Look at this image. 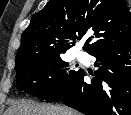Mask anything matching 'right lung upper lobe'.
I'll list each match as a JSON object with an SVG mask.
<instances>
[{
    "label": "right lung upper lobe",
    "instance_id": "cb5924a9",
    "mask_svg": "<svg viewBox=\"0 0 131 115\" xmlns=\"http://www.w3.org/2000/svg\"><path fill=\"white\" fill-rule=\"evenodd\" d=\"M89 36L90 55L131 43V15L124 0H50L21 36L16 67L31 57L66 52ZM15 67V68H16Z\"/></svg>",
    "mask_w": 131,
    "mask_h": 115
}]
</instances>
